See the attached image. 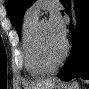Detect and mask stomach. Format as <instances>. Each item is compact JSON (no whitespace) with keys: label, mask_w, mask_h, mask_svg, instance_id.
Masks as SVG:
<instances>
[{"label":"stomach","mask_w":89,"mask_h":89,"mask_svg":"<svg viewBox=\"0 0 89 89\" xmlns=\"http://www.w3.org/2000/svg\"><path fill=\"white\" fill-rule=\"evenodd\" d=\"M52 89H66V86L63 85L62 83H57L53 86Z\"/></svg>","instance_id":"stomach-1"}]
</instances>
